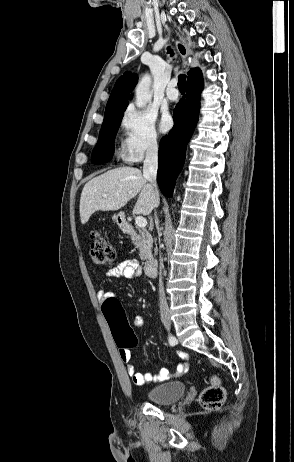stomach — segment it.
I'll return each mask as SVG.
<instances>
[{
	"label": "stomach",
	"mask_w": 294,
	"mask_h": 462,
	"mask_svg": "<svg viewBox=\"0 0 294 462\" xmlns=\"http://www.w3.org/2000/svg\"><path fill=\"white\" fill-rule=\"evenodd\" d=\"M112 218H113V220H114L115 222H117V223L120 222V214H117V215L115 214V215H113Z\"/></svg>",
	"instance_id": "obj_1"
}]
</instances>
